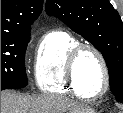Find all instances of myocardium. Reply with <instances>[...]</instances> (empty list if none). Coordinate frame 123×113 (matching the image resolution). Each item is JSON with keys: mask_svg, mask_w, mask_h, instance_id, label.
Here are the masks:
<instances>
[{"mask_svg": "<svg viewBox=\"0 0 123 113\" xmlns=\"http://www.w3.org/2000/svg\"><path fill=\"white\" fill-rule=\"evenodd\" d=\"M85 51H90L93 54H95L102 66L104 84H103L102 90L96 94L83 93L82 91H80L79 85L77 82L76 64H77V61L80 58V56ZM66 73H67V77H68V80H69L71 86L77 93H79L81 95V97L88 98V99H97V98L104 96L109 89L110 73H109V67H108L106 58L103 55V53L101 52V50L92 44L79 43L72 49V51L70 52V54L67 58V61H66Z\"/></svg>", "mask_w": 123, "mask_h": 113, "instance_id": "myocardium-1", "label": "myocardium"}]
</instances>
